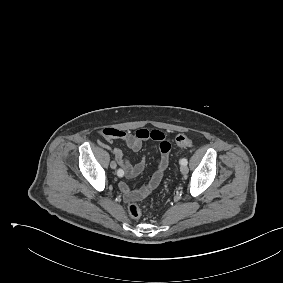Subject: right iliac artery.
<instances>
[{"label":"right iliac artery","mask_w":283,"mask_h":283,"mask_svg":"<svg viewBox=\"0 0 283 283\" xmlns=\"http://www.w3.org/2000/svg\"><path fill=\"white\" fill-rule=\"evenodd\" d=\"M122 173H123V172H122V170H121V169H119V170L117 171V175H118V176H121V175H122Z\"/></svg>","instance_id":"obj_1"}]
</instances>
